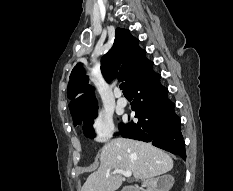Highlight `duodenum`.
I'll list each match as a JSON object with an SVG mask.
<instances>
[{
    "label": "duodenum",
    "instance_id": "410a0bca",
    "mask_svg": "<svg viewBox=\"0 0 233 191\" xmlns=\"http://www.w3.org/2000/svg\"><path fill=\"white\" fill-rule=\"evenodd\" d=\"M126 191H140V188L132 186L129 189H127Z\"/></svg>",
    "mask_w": 233,
    "mask_h": 191
}]
</instances>
